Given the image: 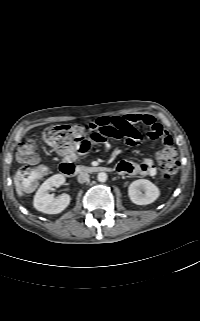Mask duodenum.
I'll return each mask as SVG.
<instances>
[{
	"label": "duodenum",
	"mask_w": 200,
	"mask_h": 321,
	"mask_svg": "<svg viewBox=\"0 0 200 321\" xmlns=\"http://www.w3.org/2000/svg\"><path fill=\"white\" fill-rule=\"evenodd\" d=\"M60 172L65 176H74L78 173H99V172H107L112 169L109 167H105L102 165H75L70 162H65L60 165Z\"/></svg>",
	"instance_id": "410a0bca"
}]
</instances>
